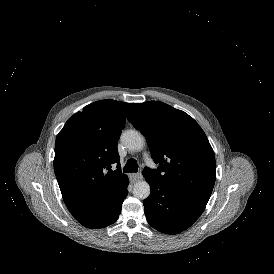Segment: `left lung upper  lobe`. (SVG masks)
<instances>
[{"label": "left lung upper lobe", "mask_w": 274, "mask_h": 274, "mask_svg": "<svg viewBox=\"0 0 274 274\" xmlns=\"http://www.w3.org/2000/svg\"><path fill=\"white\" fill-rule=\"evenodd\" d=\"M128 120L145 137L158 170L143 176L185 195L209 200L215 178L213 149L201 127L187 113L163 102L136 103Z\"/></svg>", "instance_id": "left-lung-upper-lobe-1"}]
</instances>
